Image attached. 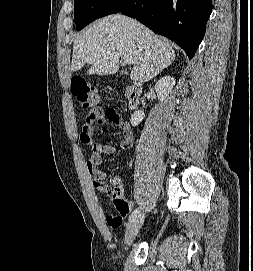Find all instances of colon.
Listing matches in <instances>:
<instances>
[{
	"label": "colon",
	"instance_id": "1",
	"mask_svg": "<svg viewBox=\"0 0 253 271\" xmlns=\"http://www.w3.org/2000/svg\"><path fill=\"white\" fill-rule=\"evenodd\" d=\"M72 92L77 102L83 107L96 106L100 102V94L96 87L89 85L81 78H74L71 82ZM105 115L115 121H119V115L112 111L107 110ZM113 200V203L118 211V214H110L107 216V223L110 227L115 228L122 223V214L126 210L127 203L122 196L120 186L113 184L111 187L107 186L106 190Z\"/></svg>",
	"mask_w": 253,
	"mask_h": 271
}]
</instances>
